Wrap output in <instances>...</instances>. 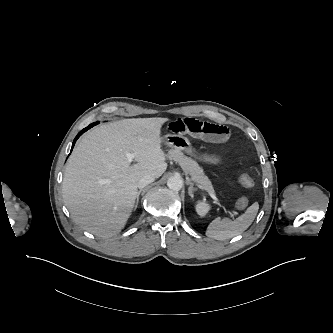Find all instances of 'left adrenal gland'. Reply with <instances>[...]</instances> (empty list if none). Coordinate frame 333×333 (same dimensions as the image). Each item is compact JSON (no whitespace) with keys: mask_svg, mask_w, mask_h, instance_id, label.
I'll return each instance as SVG.
<instances>
[{"mask_svg":"<svg viewBox=\"0 0 333 333\" xmlns=\"http://www.w3.org/2000/svg\"><path fill=\"white\" fill-rule=\"evenodd\" d=\"M189 184H190V186H189V188H188V194H189V196L191 197V198H193L194 197V191H196V189L195 188H193V184L191 183V182H188Z\"/></svg>","mask_w":333,"mask_h":333,"instance_id":"a2214340","label":"left adrenal gland"}]
</instances>
